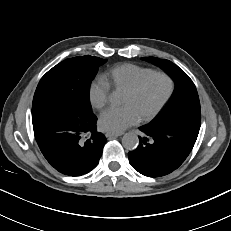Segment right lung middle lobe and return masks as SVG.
<instances>
[{"mask_svg": "<svg viewBox=\"0 0 231 231\" xmlns=\"http://www.w3.org/2000/svg\"><path fill=\"white\" fill-rule=\"evenodd\" d=\"M107 60L89 55L66 59L40 80L32 103V121L47 117H69L88 121L94 117L88 88L97 67Z\"/></svg>", "mask_w": 231, "mask_h": 231, "instance_id": "dd1d6c3e", "label": "right lung middle lobe"}]
</instances>
